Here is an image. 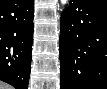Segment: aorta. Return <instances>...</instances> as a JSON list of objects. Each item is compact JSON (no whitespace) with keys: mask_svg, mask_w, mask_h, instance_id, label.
Instances as JSON below:
<instances>
[{"mask_svg":"<svg viewBox=\"0 0 107 89\" xmlns=\"http://www.w3.org/2000/svg\"><path fill=\"white\" fill-rule=\"evenodd\" d=\"M68 3V0H61V4L65 6Z\"/></svg>","mask_w":107,"mask_h":89,"instance_id":"762f6f07","label":"aorta"}]
</instances>
